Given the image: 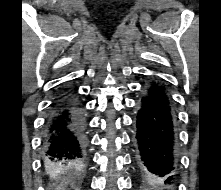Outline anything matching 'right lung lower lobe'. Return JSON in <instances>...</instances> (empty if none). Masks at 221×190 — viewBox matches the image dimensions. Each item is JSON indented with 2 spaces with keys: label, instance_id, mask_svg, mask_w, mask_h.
Returning <instances> with one entry per match:
<instances>
[{
  "label": "right lung lower lobe",
  "instance_id": "obj_1",
  "mask_svg": "<svg viewBox=\"0 0 221 190\" xmlns=\"http://www.w3.org/2000/svg\"><path fill=\"white\" fill-rule=\"evenodd\" d=\"M86 150L85 126L80 104L67 90L60 92L51 105L44 137V160L59 168L83 163Z\"/></svg>",
  "mask_w": 221,
  "mask_h": 190
}]
</instances>
